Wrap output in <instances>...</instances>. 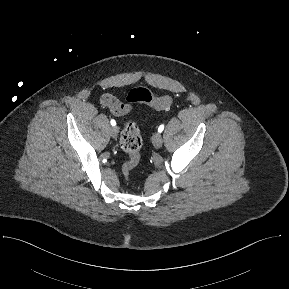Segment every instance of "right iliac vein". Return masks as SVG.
<instances>
[{
    "mask_svg": "<svg viewBox=\"0 0 289 289\" xmlns=\"http://www.w3.org/2000/svg\"><path fill=\"white\" fill-rule=\"evenodd\" d=\"M119 133V128L117 126H114L110 129V134L113 138H116Z\"/></svg>",
    "mask_w": 289,
    "mask_h": 289,
    "instance_id": "63e3f726",
    "label": "right iliac vein"
}]
</instances>
